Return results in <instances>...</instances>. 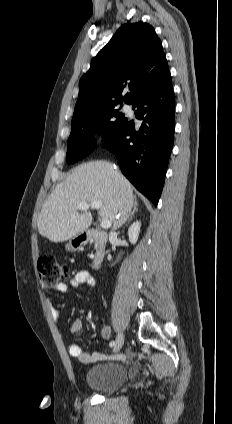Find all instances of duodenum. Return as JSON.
<instances>
[{
	"mask_svg": "<svg viewBox=\"0 0 232 424\" xmlns=\"http://www.w3.org/2000/svg\"><path fill=\"white\" fill-rule=\"evenodd\" d=\"M84 240L95 244L92 267L98 269L105 257L108 234L103 230H90L84 234Z\"/></svg>",
	"mask_w": 232,
	"mask_h": 424,
	"instance_id": "obj_1",
	"label": "duodenum"
}]
</instances>
